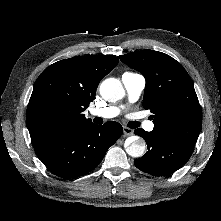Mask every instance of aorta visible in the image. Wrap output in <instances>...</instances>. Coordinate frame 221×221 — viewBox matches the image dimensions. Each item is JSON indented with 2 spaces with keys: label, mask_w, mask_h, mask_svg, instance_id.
Returning <instances> with one entry per match:
<instances>
[{
  "label": "aorta",
  "mask_w": 221,
  "mask_h": 221,
  "mask_svg": "<svg viewBox=\"0 0 221 221\" xmlns=\"http://www.w3.org/2000/svg\"><path fill=\"white\" fill-rule=\"evenodd\" d=\"M100 95L109 102H115L124 96V89L119 80L108 78L100 85ZM126 152L131 157H142L145 153V142L140 138H132L126 147Z\"/></svg>",
  "instance_id": "1"
}]
</instances>
